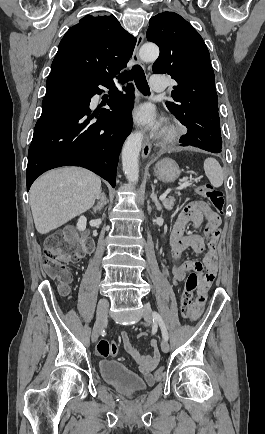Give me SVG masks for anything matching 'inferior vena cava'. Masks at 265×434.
<instances>
[{
    "label": "inferior vena cava",
    "mask_w": 265,
    "mask_h": 434,
    "mask_svg": "<svg viewBox=\"0 0 265 434\" xmlns=\"http://www.w3.org/2000/svg\"><path fill=\"white\" fill-rule=\"evenodd\" d=\"M102 204H99V208H101Z\"/></svg>",
    "instance_id": "inferior-vena-cava-1"
}]
</instances>
